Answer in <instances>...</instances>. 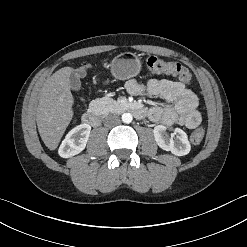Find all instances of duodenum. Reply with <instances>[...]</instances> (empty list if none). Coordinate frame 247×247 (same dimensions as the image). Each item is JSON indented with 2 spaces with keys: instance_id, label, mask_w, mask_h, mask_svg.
<instances>
[{
  "instance_id": "1",
  "label": "duodenum",
  "mask_w": 247,
  "mask_h": 247,
  "mask_svg": "<svg viewBox=\"0 0 247 247\" xmlns=\"http://www.w3.org/2000/svg\"><path fill=\"white\" fill-rule=\"evenodd\" d=\"M129 108L137 118H142L145 116L146 112L142 107L138 105H130ZM82 121L84 124L92 127H97L100 124L99 115L94 109L88 110L86 113H84L82 116Z\"/></svg>"
}]
</instances>
